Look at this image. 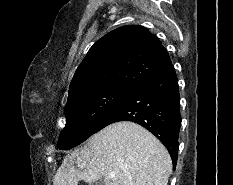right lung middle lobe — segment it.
Here are the masks:
<instances>
[{
    "instance_id": "right-lung-middle-lobe-1",
    "label": "right lung middle lobe",
    "mask_w": 233,
    "mask_h": 185,
    "mask_svg": "<svg viewBox=\"0 0 233 185\" xmlns=\"http://www.w3.org/2000/svg\"><path fill=\"white\" fill-rule=\"evenodd\" d=\"M130 89L108 87L90 91L68 101L66 125L58 148L68 150L94 134L103 119L127 96Z\"/></svg>"
}]
</instances>
